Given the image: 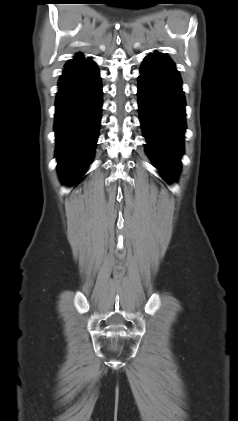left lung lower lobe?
I'll use <instances>...</instances> for the list:
<instances>
[{
    "label": "left lung lower lobe",
    "instance_id": "1",
    "mask_svg": "<svg viewBox=\"0 0 238 421\" xmlns=\"http://www.w3.org/2000/svg\"><path fill=\"white\" fill-rule=\"evenodd\" d=\"M138 78L141 127L146 152L168 180H175L183 154L185 98L172 60L155 52L145 57Z\"/></svg>",
    "mask_w": 238,
    "mask_h": 421
}]
</instances>
